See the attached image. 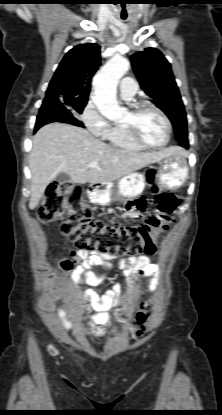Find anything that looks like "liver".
<instances>
[{
	"mask_svg": "<svg viewBox=\"0 0 222 415\" xmlns=\"http://www.w3.org/2000/svg\"><path fill=\"white\" fill-rule=\"evenodd\" d=\"M174 154L184 155L185 151L178 146L153 152L121 150L96 139L81 127L47 124L33 137L29 155V208L37 207L47 186L60 173H66L74 183H109ZM93 161L98 162V167L88 168Z\"/></svg>",
	"mask_w": 222,
	"mask_h": 415,
	"instance_id": "obj_1",
	"label": "liver"
}]
</instances>
